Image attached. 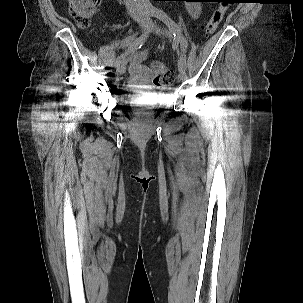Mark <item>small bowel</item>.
Here are the masks:
<instances>
[{"instance_id":"obj_1","label":"small bowel","mask_w":303,"mask_h":303,"mask_svg":"<svg viewBox=\"0 0 303 303\" xmlns=\"http://www.w3.org/2000/svg\"><path fill=\"white\" fill-rule=\"evenodd\" d=\"M197 1V0H188ZM187 9L192 18H198L201 12L199 4H188ZM117 49H125V56L129 62V72L132 75V83L138 87H149L150 70L142 63L147 58V51L131 52L125 45L118 41L114 43Z\"/></svg>"}]
</instances>
